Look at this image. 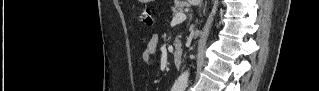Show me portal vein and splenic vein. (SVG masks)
Segmentation results:
<instances>
[{
	"instance_id": "18ae733b",
	"label": "portal vein and splenic vein",
	"mask_w": 319,
	"mask_h": 91,
	"mask_svg": "<svg viewBox=\"0 0 319 91\" xmlns=\"http://www.w3.org/2000/svg\"><path fill=\"white\" fill-rule=\"evenodd\" d=\"M185 19H186V15L183 12H178L172 18V23L179 24V23H182Z\"/></svg>"
}]
</instances>
